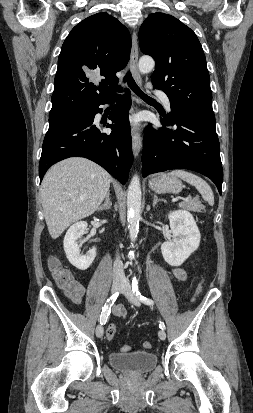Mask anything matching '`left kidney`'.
<instances>
[{"label": "left kidney", "instance_id": "5707ae66", "mask_svg": "<svg viewBox=\"0 0 253 413\" xmlns=\"http://www.w3.org/2000/svg\"><path fill=\"white\" fill-rule=\"evenodd\" d=\"M172 240L161 245L164 260L171 266H181L198 249L200 231L192 216L186 210H176L168 214Z\"/></svg>", "mask_w": 253, "mask_h": 413}]
</instances>
